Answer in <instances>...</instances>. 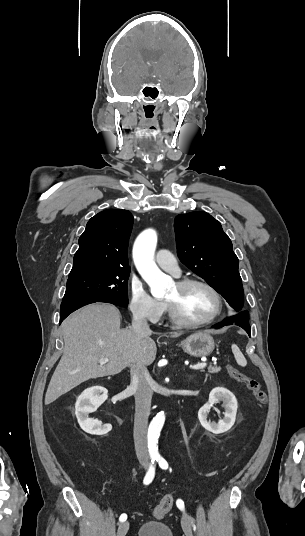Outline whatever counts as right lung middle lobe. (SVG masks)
<instances>
[{
	"instance_id": "dd1d6c3e",
	"label": "right lung middle lobe",
	"mask_w": 305,
	"mask_h": 536,
	"mask_svg": "<svg viewBox=\"0 0 305 536\" xmlns=\"http://www.w3.org/2000/svg\"><path fill=\"white\" fill-rule=\"evenodd\" d=\"M129 275L130 270H120L69 277L62 303L93 301L125 307L128 304Z\"/></svg>"
}]
</instances>
